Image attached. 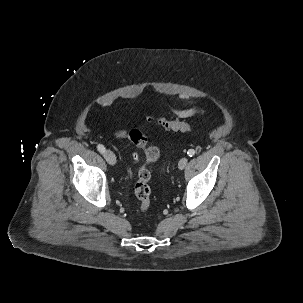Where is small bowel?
Masks as SVG:
<instances>
[{
	"label": "small bowel",
	"instance_id": "small-bowel-1",
	"mask_svg": "<svg viewBox=\"0 0 303 303\" xmlns=\"http://www.w3.org/2000/svg\"><path fill=\"white\" fill-rule=\"evenodd\" d=\"M200 112L201 109L195 106H186L183 109L175 110V113L181 118L190 117Z\"/></svg>",
	"mask_w": 303,
	"mask_h": 303
}]
</instances>
